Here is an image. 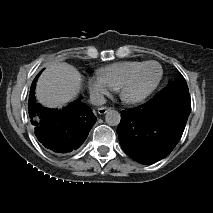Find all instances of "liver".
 I'll list each match as a JSON object with an SVG mask.
<instances>
[{"label": "liver", "instance_id": "liver-1", "mask_svg": "<svg viewBox=\"0 0 213 213\" xmlns=\"http://www.w3.org/2000/svg\"><path fill=\"white\" fill-rule=\"evenodd\" d=\"M82 78L72 65L60 62L46 67L36 85V98L43 106L61 108L74 100L81 89Z\"/></svg>", "mask_w": 213, "mask_h": 213}]
</instances>
